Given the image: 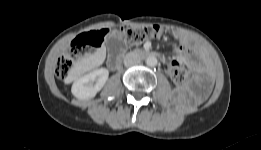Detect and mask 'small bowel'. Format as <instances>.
<instances>
[{
	"instance_id": "c3829d8e",
	"label": "small bowel",
	"mask_w": 261,
	"mask_h": 150,
	"mask_svg": "<svg viewBox=\"0 0 261 150\" xmlns=\"http://www.w3.org/2000/svg\"><path fill=\"white\" fill-rule=\"evenodd\" d=\"M174 35L179 39L181 45L180 47L175 51V54L178 58L186 62L190 66L195 65V57H196V47L194 40L191 36H189L186 33L176 32ZM148 46V44H147ZM169 62L165 63V70L167 71V64Z\"/></svg>"
}]
</instances>
